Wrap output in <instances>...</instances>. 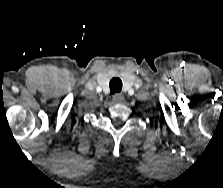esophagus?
I'll return each instance as SVG.
<instances>
[{
	"instance_id": "obj_1",
	"label": "esophagus",
	"mask_w": 223,
	"mask_h": 188,
	"mask_svg": "<svg viewBox=\"0 0 223 188\" xmlns=\"http://www.w3.org/2000/svg\"><path fill=\"white\" fill-rule=\"evenodd\" d=\"M123 100H124V98H123V96L121 94H115L113 96V101L115 103H121V102H123Z\"/></svg>"
}]
</instances>
